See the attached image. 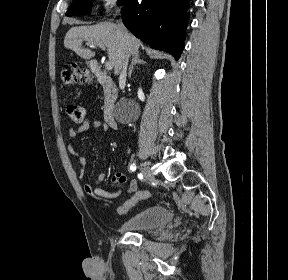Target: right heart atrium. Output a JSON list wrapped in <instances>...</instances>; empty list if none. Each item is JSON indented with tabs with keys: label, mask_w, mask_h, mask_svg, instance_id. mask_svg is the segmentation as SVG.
Masks as SVG:
<instances>
[{
	"label": "right heart atrium",
	"mask_w": 288,
	"mask_h": 280,
	"mask_svg": "<svg viewBox=\"0 0 288 280\" xmlns=\"http://www.w3.org/2000/svg\"><path fill=\"white\" fill-rule=\"evenodd\" d=\"M116 3V0H99V7L102 11H108Z\"/></svg>",
	"instance_id": "obj_1"
}]
</instances>
